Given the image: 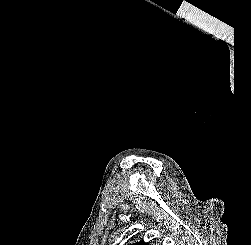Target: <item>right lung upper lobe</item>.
I'll return each instance as SVG.
<instances>
[{"label":"right lung upper lobe","instance_id":"right-lung-upper-lobe-1","mask_svg":"<svg viewBox=\"0 0 251 245\" xmlns=\"http://www.w3.org/2000/svg\"><path fill=\"white\" fill-rule=\"evenodd\" d=\"M132 245H149L148 243H145L144 241L132 244Z\"/></svg>","mask_w":251,"mask_h":245}]
</instances>
